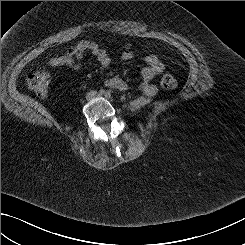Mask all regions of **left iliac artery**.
I'll use <instances>...</instances> for the list:
<instances>
[{
    "instance_id": "1",
    "label": "left iliac artery",
    "mask_w": 245,
    "mask_h": 245,
    "mask_svg": "<svg viewBox=\"0 0 245 245\" xmlns=\"http://www.w3.org/2000/svg\"><path fill=\"white\" fill-rule=\"evenodd\" d=\"M111 96H112V94H111V92H110V91H108V92H106V93H105V97H107V98H111Z\"/></svg>"
}]
</instances>
